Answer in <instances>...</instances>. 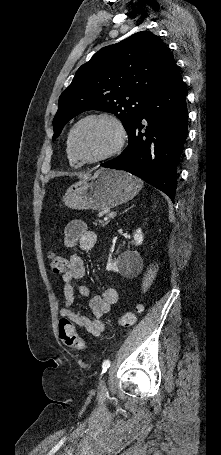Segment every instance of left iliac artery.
Returning <instances> with one entry per match:
<instances>
[{"mask_svg":"<svg viewBox=\"0 0 221 455\" xmlns=\"http://www.w3.org/2000/svg\"><path fill=\"white\" fill-rule=\"evenodd\" d=\"M110 363H111L110 360H105L103 362L101 375L104 374L107 371V369L110 367Z\"/></svg>","mask_w":221,"mask_h":455,"instance_id":"left-iliac-artery-1","label":"left iliac artery"}]
</instances>
